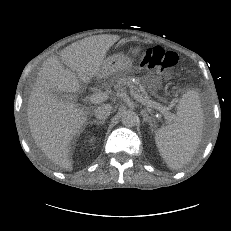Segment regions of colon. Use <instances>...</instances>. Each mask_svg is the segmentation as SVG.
I'll return each mask as SVG.
<instances>
[{
    "label": "colon",
    "instance_id": "colon-1",
    "mask_svg": "<svg viewBox=\"0 0 231 231\" xmlns=\"http://www.w3.org/2000/svg\"><path fill=\"white\" fill-rule=\"evenodd\" d=\"M178 57L176 53L166 51L159 46L150 47L142 52L138 58L141 67L157 70H168L176 65Z\"/></svg>",
    "mask_w": 231,
    "mask_h": 231
}]
</instances>
